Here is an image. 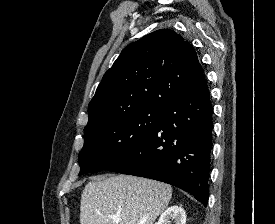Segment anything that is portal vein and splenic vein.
Here are the masks:
<instances>
[{
    "label": "portal vein and splenic vein",
    "instance_id": "obj_1",
    "mask_svg": "<svg viewBox=\"0 0 275 224\" xmlns=\"http://www.w3.org/2000/svg\"><path fill=\"white\" fill-rule=\"evenodd\" d=\"M116 222H119L120 221V219L118 218V217H114L113 218Z\"/></svg>",
    "mask_w": 275,
    "mask_h": 224
}]
</instances>
